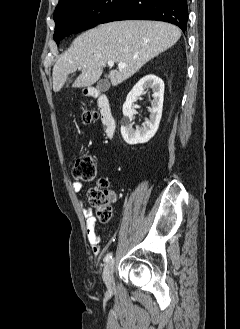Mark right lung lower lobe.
Wrapping results in <instances>:
<instances>
[{
  "instance_id": "right-lung-lower-lobe-1",
  "label": "right lung lower lobe",
  "mask_w": 240,
  "mask_h": 329,
  "mask_svg": "<svg viewBox=\"0 0 240 329\" xmlns=\"http://www.w3.org/2000/svg\"><path fill=\"white\" fill-rule=\"evenodd\" d=\"M118 20H158L187 29V0H125L101 23Z\"/></svg>"
}]
</instances>
